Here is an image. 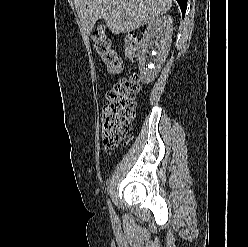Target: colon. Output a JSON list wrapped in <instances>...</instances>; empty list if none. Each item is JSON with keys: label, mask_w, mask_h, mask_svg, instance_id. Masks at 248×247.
Listing matches in <instances>:
<instances>
[{"label": "colon", "mask_w": 248, "mask_h": 247, "mask_svg": "<svg viewBox=\"0 0 248 247\" xmlns=\"http://www.w3.org/2000/svg\"><path fill=\"white\" fill-rule=\"evenodd\" d=\"M96 52L106 65L110 75H118L123 67L120 56L115 52L104 29L99 28L93 33ZM125 52L129 60L135 59L138 39L133 33L124 37ZM139 91L137 75H132L118 82L108 93L101 116V135L106 148H117L125 139L135 117V97Z\"/></svg>", "instance_id": "1"}]
</instances>
